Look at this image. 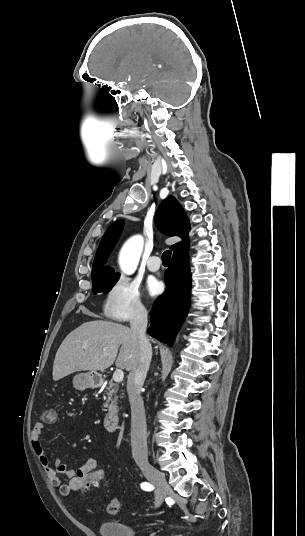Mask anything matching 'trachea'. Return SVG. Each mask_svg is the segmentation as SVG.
<instances>
[{"label": "trachea", "instance_id": "obj_1", "mask_svg": "<svg viewBox=\"0 0 305 536\" xmlns=\"http://www.w3.org/2000/svg\"><path fill=\"white\" fill-rule=\"evenodd\" d=\"M171 257V251L167 250L162 253V263H169Z\"/></svg>", "mask_w": 305, "mask_h": 536}]
</instances>
